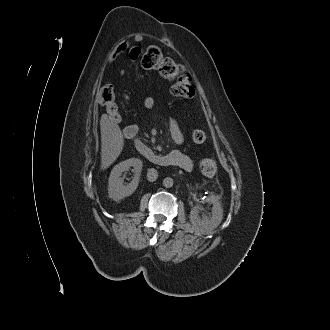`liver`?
Instances as JSON below:
<instances>
[{
	"label": "liver",
	"mask_w": 330,
	"mask_h": 330,
	"mask_svg": "<svg viewBox=\"0 0 330 330\" xmlns=\"http://www.w3.org/2000/svg\"><path fill=\"white\" fill-rule=\"evenodd\" d=\"M101 169H107L120 155L124 138L118 124L106 114L101 116Z\"/></svg>",
	"instance_id": "obj_1"
}]
</instances>
